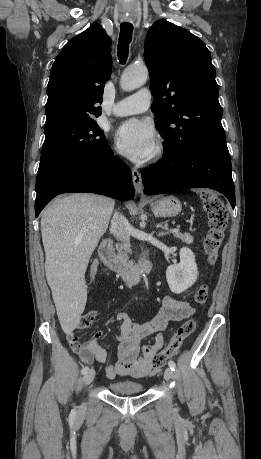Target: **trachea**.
<instances>
[{"label":"trachea","mask_w":261,"mask_h":459,"mask_svg":"<svg viewBox=\"0 0 261 459\" xmlns=\"http://www.w3.org/2000/svg\"><path fill=\"white\" fill-rule=\"evenodd\" d=\"M132 31L133 25L131 23H122L120 25L117 55L121 64H125L128 58L129 44L132 40Z\"/></svg>","instance_id":"obj_1"}]
</instances>
